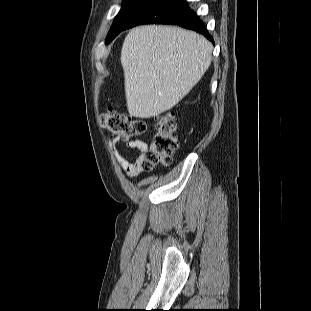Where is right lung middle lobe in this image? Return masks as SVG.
Returning a JSON list of instances; mask_svg holds the SVG:
<instances>
[{
	"label": "right lung middle lobe",
	"instance_id": "obj_1",
	"mask_svg": "<svg viewBox=\"0 0 311 311\" xmlns=\"http://www.w3.org/2000/svg\"><path fill=\"white\" fill-rule=\"evenodd\" d=\"M157 0H124L123 6L117 14L106 43H110L120 32H122L131 20L148 6Z\"/></svg>",
	"mask_w": 311,
	"mask_h": 311
}]
</instances>
